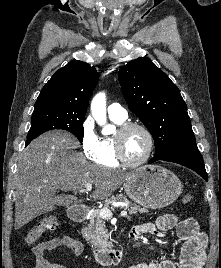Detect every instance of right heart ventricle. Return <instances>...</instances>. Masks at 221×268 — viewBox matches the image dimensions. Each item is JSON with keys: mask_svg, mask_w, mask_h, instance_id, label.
<instances>
[{"mask_svg": "<svg viewBox=\"0 0 221 268\" xmlns=\"http://www.w3.org/2000/svg\"><path fill=\"white\" fill-rule=\"evenodd\" d=\"M116 124H122L123 122L112 119ZM101 166L116 168L120 165L115 155L114 140L112 136H104L100 139V150L95 160Z\"/></svg>", "mask_w": 221, "mask_h": 268, "instance_id": "1", "label": "right heart ventricle"}]
</instances>
